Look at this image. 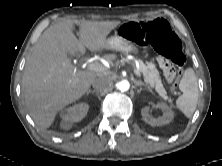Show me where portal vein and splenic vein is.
<instances>
[{"label":"portal vein and splenic vein","instance_id":"portal-vein-and-splenic-vein-1","mask_svg":"<svg viewBox=\"0 0 222 166\" xmlns=\"http://www.w3.org/2000/svg\"><path fill=\"white\" fill-rule=\"evenodd\" d=\"M87 68L90 71H94V72H98V73H104L106 71V68L104 67V65L99 63V62H97V61L89 62ZM133 70H134V73L138 77L141 76L140 72L137 69L134 68Z\"/></svg>","mask_w":222,"mask_h":166}]
</instances>
